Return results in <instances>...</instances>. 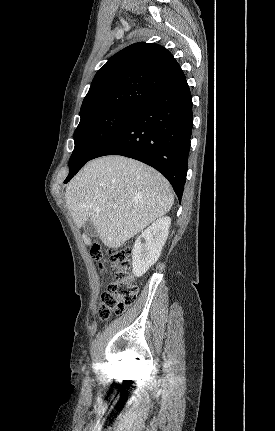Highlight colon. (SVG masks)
Instances as JSON below:
<instances>
[{"label":"colon","instance_id":"1","mask_svg":"<svg viewBox=\"0 0 275 431\" xmlns=\"http://www.w3.org/2000/svg\"><path fill=\"white\" fill-rule=\"evenodd\" d=\"M92 256L101 262L104 253L101 246L95 243L91 250ZM110 268L114 274L113 281L101 295L98 307L100 320H107L112 314H122L137 298L138 287L131 274V250L127 247L113 250L109 254ZM102 271L105 267L100 263Z\"/></svg>","mask_w":275,"mask_h":431}]
</instances>
